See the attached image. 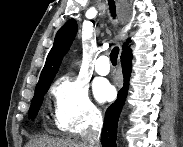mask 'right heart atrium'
Instances as JSON below:
<instances>
[{"label": "right heart atrium", "mask_w": 183, "mask_h": 147, "mask_svg": "<svg viewBox=\"0 0 183 147\" xmlns=\"http://www.w3.org/2000/svg\"><path fill=\"white\" fill-rule=\"evenodd\" d=\"M54 121L70 133H81L100 121V110L92 102L87 85L78 78L63 76L52 86Z\"/></svg>", "instance_id": "1"}]
</instances>
